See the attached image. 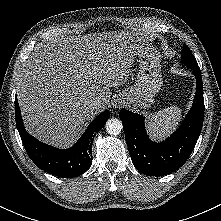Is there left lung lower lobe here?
Segmentation results:
<instances>
[{"label": "left lung lower lobe", "mask_w": 221, "mask_h": 221, "mask_svg": "<svg viewBox=\"0 0 221 221\" xmlns=\"http://www.w3.org/2000/svg\"><path fill=\"white\" fill-rule=\"evenodd\" d=\"M196 77L193 105L179 128L167 140L155 143L146 133L144 117L126 109L120 110L126 143L134 166L147 176H163L184 165L200 135L204 119L203 82L200 70Z\"/></svg>", "instance_id": "0a47b994"}]
</instances>
